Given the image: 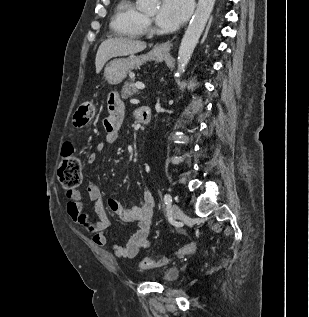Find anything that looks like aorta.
Returning <instances> with one entry per match:
<instances>
[{
    "mask_svg": "<svg viewBox=\"0 0 309 317\" xmlns=\"http://www.w3.org/2000/svg\"><path fill=\"white\" fill-rule=\"evenodd\" d=\"M137 3L139 8L142 10H153L156 8L158 0H137ZM214 4L215 0L198 1L195 13L188 25L187 30L185 31L179 47L177 75L184 73L213 10Z\"/></svg>",
    "mask_w": 309,
    "mask_h": 317,
    "instance_id": "aorta-1",
    "label": "aorta"
}]
</instances>
